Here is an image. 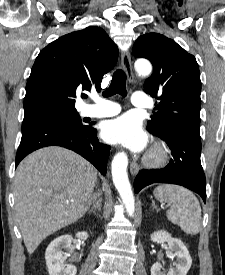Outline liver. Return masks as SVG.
I'll return each mask as SVG.
<instances>
[{"label":"liver","mask_w":225,"mask_h":275,"mask_svg":"<svg viewBox=\"0 0 225 275\" xmlns=\"http://www.w3.org/2000/svg\"><path fill=\"white\" fill-rule=\"evenodd\" d=\"M98 172L75 152L57 146L22 160L14 178L17 221L29 254L49 235L85 215Z\"/></svg>","instance_id":"1"}]
</instances>
